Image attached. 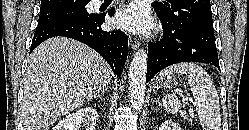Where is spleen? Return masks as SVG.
I'll return each mask as SVG.
<instances>
[{
	"label": "spleen",
	"instance_id": "spleen-1",
	"mask_svg": "<svg viewBox=\"0 0 249 130\" xmlns=\"http://www.w3.org/2000/svg\"><path fill=\"white\" fill-rule=\"evenodd\" d=\"M172 73L188 76V83L203 130H220L219 97L208 73L201 66L191 62L174 64L161 72L162 75ZM162 102L166 111L171 114L177 113L181 108V102L175 94L165 95Z\"/></svg>",
	"mask_w": 249,
	"mask_h": 130
}]
</instances>
